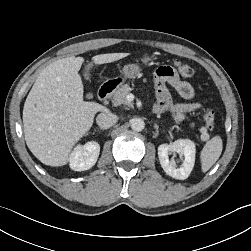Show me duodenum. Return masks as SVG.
<instances>
[{
  "label": "duodenum",
  "mask_w": 251,
  "mask_h": 251,
  "mask_svg": "<svg viewBox=\"0 0 251 251\" xmlns=\"http://www.w3.org/2000/svg\"><path fill=\"white\" fill-rule=\"evenodd\" d=\"M117 85V81H110L102 85L97 93L98 99L104 101L109 98L113 91L116 89Z\"/></svg>",
  "instance_id": "410a0bca"
}]
</instances>
